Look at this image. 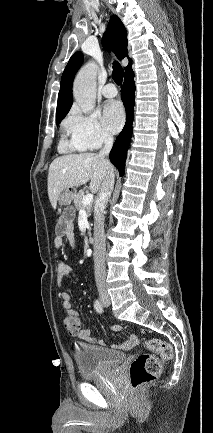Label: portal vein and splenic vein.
<instances>
[{"label":"portal vein and splenic vein","instance_id":"portal-vein-and-splenic-vein-1","mask_svg":"<svg viewBox=\"0 0 213 433\" xmlns=\"http://www.w3.org/2000/svg\"><path fill=\"white\" fill-rule=\"evenodd\" d=\"M92 201H93V194L90 193V194H86L83 197L82 203H83L84 206H86V205L91 204Z\"/></svg>","mask_w":213,"mask_h":433}]
</instances>
